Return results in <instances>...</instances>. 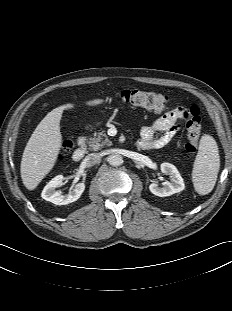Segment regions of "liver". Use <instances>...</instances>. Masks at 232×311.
<instances>
[{
	"label": "liver",
	"instance_id": "obj_1",
	"mask_svg": "<svg viewBox=\"0 0 232 311\" xmlns=\"http://www.w3.org/2000/svg\"><path fill=\"white\" fill-rule=\"evenodd\" d=\"M103 102L102 99H94L86 104L95 106ZM73 107V104L68 103L53 109L38 124L28 140L20 166L21 179L28 190H34L54 167L62 146V113Z\"/></svg>",
	"mask_w": 232,
	"mask_h": 311
}]
</instances>
